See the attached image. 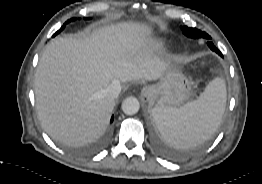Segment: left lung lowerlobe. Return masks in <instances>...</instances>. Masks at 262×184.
<instances>
[{
    "instance_id": "left-lung-lower-lobe-1",
    "label": "left lung lower lobe",
    "mask_w": 262,
    "mask_h": 184,
    "mask_svg": "<svg viewBox=\"0 0 262 184\" xmlns=\"http://www.w3.org/2000/svg\"><path fill=\"white\" fill-rule=\"evenodd\" d=\"M208 46L210 47L211 50L215 51L218 53L220 56H222V53L214 46V44L211 41L207 42ZM223 57V56H222ZM166 156L168 157H175V156H188L189 153H172L168 152L164 149H160ZM191 154V153H190Z\"/></svg>"
}]
</instances>
